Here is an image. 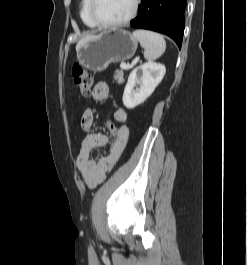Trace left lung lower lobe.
I'll list each match as a JSON object with an SVG mask.
<instances>
[{
  "mask_svg": "<svg viewBox=\"0 0 247 265\" xmlns=\"http://www.w3.org/2000/svg\"><path fill=\"white\" fill-rule=\"evenodd\" d=\"M186 3L187 0H142L139 14L130 25L166 34L181 48Z\"/></svg>",
  "mask_w": 247,
  "mask_h": 265,
  "instance_id": "0a47b994",
  "label": "left lung lower lobe"
}]
</instances>
